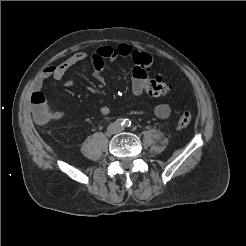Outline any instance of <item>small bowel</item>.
<instances>
[{"mask_svg": "<svg viewBox=\"0 0 246 246\" xmlns=\"http://www.w3.org/2000/svg\"><path fill=\"white\" fill-rule=\"evenodd\" d=\"M134 51V48L129 44H120L116 47L111 46H103L98 48L96 51L92 53L87 52H76L66 58L64 61L57 65H51L45 67L41 73L38 75V77L34 81V92H39L43 95V97L46 100L47 108H48V116L44 123L51 122V121H57L64 117V113L62 111L54 110L48 100L46 99L45 95L41 91L45 81L49 79L54 80H61L64 75L67 73L68 70H70L72 67L77 65L80 62H83L85 60L90 59L94 66V77L97 81L100 83L104 82V77L102 74L104 62L106 60H115L117 58H131L132 52ZM150 78L148 77L147 73H141L135 66L132 70V92L135 96H140L145 92V85L146 82ZM66 86H72L73 81L71 79H67L65 81ZM33 92V93H34ZM112 112L111 108L108 106H102L100 108V113L103 116H108ZM153 112L155 116H157L160 119H165L169 117L171 113V109L168 104L165 103H159L157 104ZM139 113V112H134Z\"/></svg>", "mask_w": 246, "mask_h": 246, "instance_id": "obj_1", "label": "small bowel"}]
</instances>
